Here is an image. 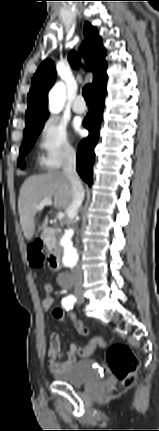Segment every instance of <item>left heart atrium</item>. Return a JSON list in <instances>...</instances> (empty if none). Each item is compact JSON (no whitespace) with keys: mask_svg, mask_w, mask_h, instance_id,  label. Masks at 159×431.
Returning a JSON list of instances; mask_svg holds the SVG:
<instances>
[{"mask_svg":"<svg viewBox=\"0 0 159 431\" xmlns=\"http://www.w3.org/2000/svg\"><path fill=\"white\" fill-rule=\"evenodd\" d=\"M75 128H76L77 132H79V133L82 132V130L80 129V127L78 125Z\"/></svg>","mask_w":159,"mask_h":431,"instance_id":"1","label":"left heart atrium"}]
</instances>
